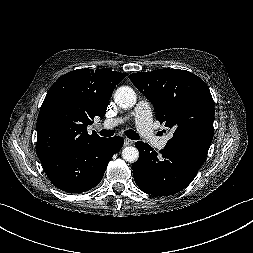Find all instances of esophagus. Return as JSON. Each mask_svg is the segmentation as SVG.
<instances>
[{
    "label": "esophagus",
    "instance_id": "34e87169",
    "mask_svg": "<svg viewBox=\"0 0 253 253\" xmlns=\"http://www.w3.org/2000/svg\"><path fill=\"white\" fill-rule=\"evenodd\" d=\"M133 140H131V139H128V138H125V140H124V145L125 146H130V145H133Z\"/></svg>",
    "mask_w": 253,
    "mask_h": 253
}]
</instances>
